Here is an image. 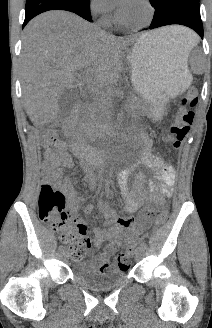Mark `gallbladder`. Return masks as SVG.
Instances as JSON below:
<instances>
[{
  "mask_svg": "<svg viewBox=\"0 0 212 328\" xmlns=\"http://www.w3.org/2000/svg\"><path fill=\"white\" fill-rule=\"evenodd\" d=\"M76 102V91L74 89L65 90L59 98V115L61 117L69 114Z\"/></svg>",
  "mask_w": 212,
  "mask_h": 328,
  "instance_id": "bac80fb5",
  "label": "gallbladder"
}]
</instances>
